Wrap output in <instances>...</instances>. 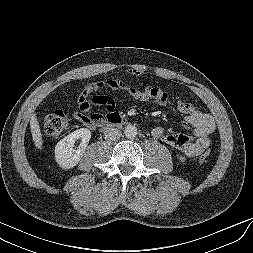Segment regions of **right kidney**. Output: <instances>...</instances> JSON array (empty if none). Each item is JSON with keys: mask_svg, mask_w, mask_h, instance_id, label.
<instances>
[{"mask_svg": "<svg viewBox=\"0 0 253 253\" xmlns=\"http://www.w3.org/2000/svg\"><path fill=\"white\" fill-rule=\"evenodd\" d=\"M91 138V131L87 128H80L61 139L55 146V160L62 169L75 167ZM81 139L80 145L74 149L76 140Z\"/></svg>", "mask_w": 253, "mask_h": 253, "instance_id": "obj_1", "label": "right kidney"}]
</instances>
